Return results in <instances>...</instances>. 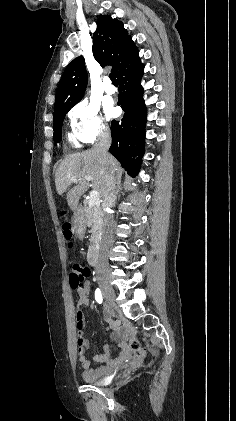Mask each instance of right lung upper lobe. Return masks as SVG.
Segmentation results:
<instances>
[{
    "label": "right lung upper lobe",
    "instance_id": "right-lung-upper-lobe-1",
    "mask_svg": "<svg viewBox=\"0 0 236 421\" xmlns=\"http://www.w3.org/2000/svg\"><path fill=\"white\" fill-rule=\"evenodd\" d=\"M93 56L102 66L111 65L115 74L138 57V50L123 23L109 15L100 16L93 36ZM84 58H75L66 67L56 93L54 110L76 104L87 86Z\"/></svg>",
    "mask_w": 236,
    "mask_h": 421
}]
</instances>
